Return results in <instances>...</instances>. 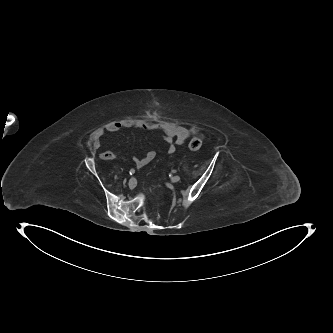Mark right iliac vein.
I'll return each mask as SVG.
<instances>
[{
  "instance_id": "right-iliac-vein-1",
  "label": "right iliac vein",
  "mask_w": 333,
  "mask_h": 333,
  "mask_svg": "<svg viewBox=\"0 0 333 333\" xmlns=\"http://www.w3.org/2000/svg\"><path fill=\"white\" fill-rule=\"evenodd\" d=\"M136 185H137L136 179L132 177L128 182V186L130 189H134Z\"/></svg>"
}]
</instances>
